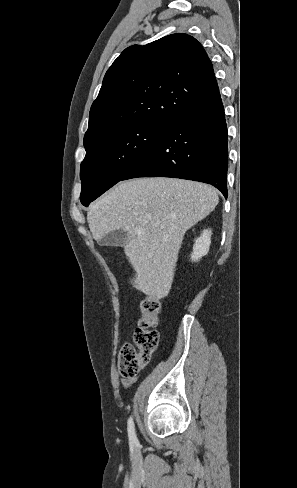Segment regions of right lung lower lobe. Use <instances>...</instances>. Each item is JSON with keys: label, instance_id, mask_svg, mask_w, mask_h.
<instances>
[{"label": "right lung lower lobe", "instance_id": "98d812e1", "mask_svg": "<svg viewBox=\"0 0 297 488\" xmlns=\"http://www.w3.org/2000/svg\"><path fill=\"white\" fill-rule=\"evenodd\" d=\"M227 125L220 94L172 121L122 178L172 177L211 184L227 198Z\"/></svg>", "mask_w": 297, "mask_h": 488}]
</instances>
